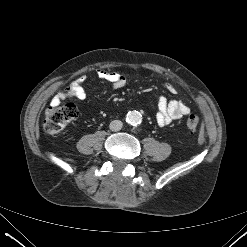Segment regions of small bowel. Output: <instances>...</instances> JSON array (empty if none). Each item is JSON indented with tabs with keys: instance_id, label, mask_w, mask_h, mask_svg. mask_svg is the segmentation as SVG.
<instances>
[{
	"instance_id": "c3829d8e",
	"label": "small bowel",
	"mask_w": 247,
	"mask_h": 247,
	"mask_svg": "<svg viewBox=\"0 0 247 247\" xmlns=\"http://www.w3.org/2000/svg\"><path fill=\"white\" fill-rule=\"evenodd\" d=\"M97 76L111 83L114 90L122 89L127 84L126 77L119 72H111L105 69H99ZM85 77L81 76L74 80L66 89L59 91L52 99V103L60 104L66 98H77L79 100L86 99V92L83 87ZM165 88L169 93L175 94L176 88L174 85L167 83ZM190 108L180 100L168 101L166 97L160 96L158 99V112L156 121L159 126L169 125L172 121L179 120L188 115Z\"/></svg>"
}]
</instances>
